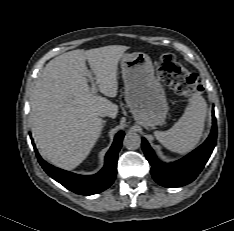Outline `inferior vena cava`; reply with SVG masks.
Instances as JSON below:
<instances>
[{
  "label": "inferior vena cava",
  "instance_id": "inferior-vena-cava-1",
  "mask_svg": "<svg viewBox=\"0 0 234 231\" xmlns=\"http://www.w3.org/2000/svg\"><path fill=\"white\" fill-rule=\"evenodd\" d=\"M99 115H100L101 117L109 116V114L106 113V112H101Z\"/></svg>",
  "mask_w": 234,
  "mask_h": 231
}]
</instances>
